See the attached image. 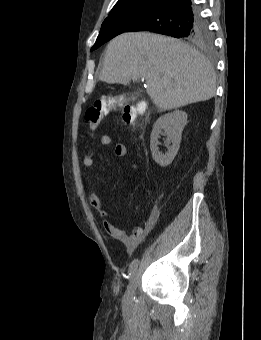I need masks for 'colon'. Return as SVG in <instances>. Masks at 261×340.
<instances>
[{
	"instance_id": "obj_1",
	"label": "colon",
	"mask_w": 261,
	"mask_h": 340,
	"mask_svg": "<svg viewBox=\"0 0 261 340\" xmlns=\"http://www.w3.org/2000/svg\"><path fill=\"white\" fill-rule=\"evenodd\" d=\"M115 106L114 100H99L90 106L85 112V118L91 130H95L103 118ZM145 112L144 103L126 105L123 109V120L126 124L132 125Z\"/></svg>"
}]
</instances>
